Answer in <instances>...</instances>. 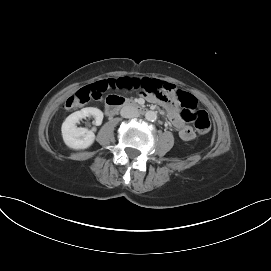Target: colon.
<instances>
[{
    "instance_id": "5ec220e1",
    "label": "colon",
    "mask_w": 271,
    "mask_h": 271,
    "mask_svg": "<svg viewBox=\"0 0 271 271\" xmlns=\"http://www.w3.org/2000/svg\"><path fill=\"white\" fill-rule=\"evenodd\" d=\"M132 84L133 79L123 78L115 81L111 87L128 91L132 89ZM105 91V89H97L93 86L83 87L66 100L65 108H78L86 104L91 98H98ZM176 100L182 106L181 117L185 121L193 122L199 134H207L211 129V121L206 111L197 108V99L187 92L177 91Z\"/></svg>"
}]
</instances>
